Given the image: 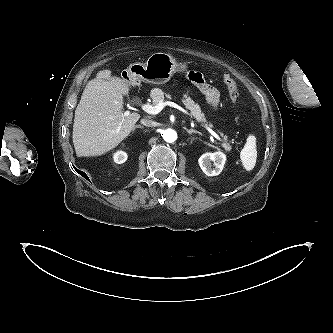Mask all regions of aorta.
Instances as JSON below:
<instances>
[{"mask_svg":"<svg viewBox=\"0 0 333 333\" xmlns=\"http://www.w3.org/2000/svg\"><path fill=\"white\" fill-rule=\"evenodd\" d=\"M163 139L166 142L172 143L177 139V132L173 129H166L163 133Z\"/></svg>","mask_w":333,"mask_h":333,"instance_id":"obj_1","label":"aorta"}]
</instances>
